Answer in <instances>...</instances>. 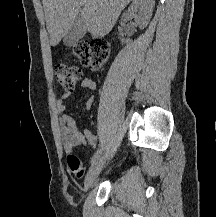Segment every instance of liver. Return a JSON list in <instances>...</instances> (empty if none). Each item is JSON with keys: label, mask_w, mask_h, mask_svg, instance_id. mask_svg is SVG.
<instances>
[{"label": "liver", "mask_w": 216, "mask_h": 217, "mask_svg": "<svg viewBox=\"0 0 216 217\" xmlns=\"http://www.w3.org/2000/svg\"><path fill=\"white\" fill-rule=\"evenodd\" d=\"M131 0H43L50 44L56 46L81 11L85 31L93 35L108 34L121 11Z\"/></svg>", "instance_id": "1"}]
</instances>
